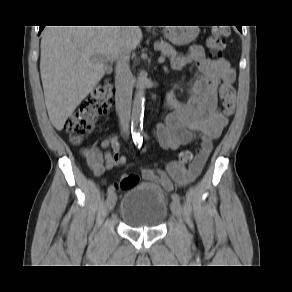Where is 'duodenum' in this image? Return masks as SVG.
Segmentation results:
<instances>
[{"label": "duodenum", "instance_id": "obj_1", "mask_svg": "<svg viewBox=\"0 0 292 292\" xmlns=\"http://www.w3.org/2000/svg\"><path fill=\"white\" fill-rule=\"evenodd\" d=\"M126 109V94L121 85L117 87L116 110L117 113L122 114Z\"/></svg>", "mask_w": 292, "mask_h": 292}]
</instances>
